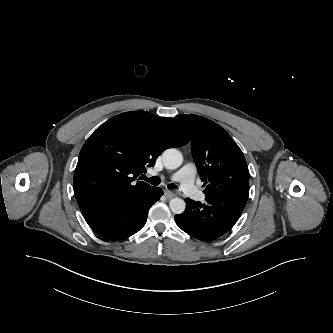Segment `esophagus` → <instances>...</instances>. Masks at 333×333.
Wrapping results in <instances>:
<instances>
[{
  "mask_svg": "<svg viewBox=\"0 0 333 333\" xmlns=\"http://www.w3.org/2000/svg\"><path fill=\"white\" fill-rule=\"evenodd\" d=\"M164 195L166 196L167 199H171L176 196V193L170 190H165Z\"/></svg>",
  "mask_w": 333,
  "mask_h": 333,
  "instance_id": "obj_1",
  "label": "esophagus"
}]
</instances>
